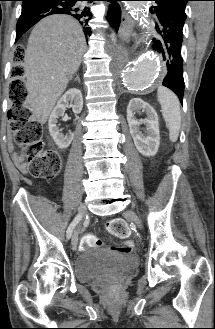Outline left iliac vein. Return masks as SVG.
I'll return each mask as SVG.
<instances>
[{"label":"left iliac vein","instance_id":"4c4485c4","mask_svg":"<svg viewBox=\"0 0 215 329\" xmlns=\"http://www.w3.org/2000/svg\"><path fill=\"white\" fill-rule=\"evenodd\" d=\"M124 216L126 218H129V219L133 220L139 228L142 227L141 221L139 220V218L137 217V215L133 211H127V212H125L124 213Z\"/></svg>","mask_w":215,"mask_h":329}]
</instances>
